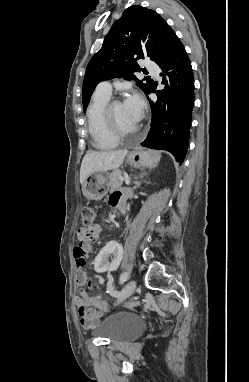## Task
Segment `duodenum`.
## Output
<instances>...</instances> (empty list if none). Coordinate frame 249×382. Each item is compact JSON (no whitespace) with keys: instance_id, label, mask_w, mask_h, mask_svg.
I'll return each instance as SVG.
<instances>
[{"instance_id":"duodenum-1","label":"duodenum","mask_w":249,"mask_h":382,"mask_svg":"<svg viewBox=\"0 0 249 382\" xmlns=\"http://www.w3.org/2000/svg\"><path fill=\"white\" fill-rule=\"evenodd\" d=\"M124 206H125V202H122V203L119 205V208H120L121 210H123V209H124Z\"/></svg>"}]
</instances>
